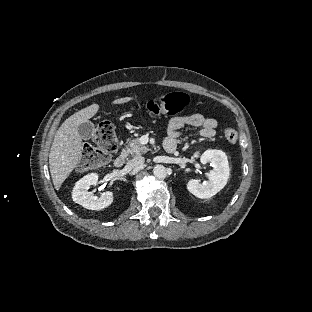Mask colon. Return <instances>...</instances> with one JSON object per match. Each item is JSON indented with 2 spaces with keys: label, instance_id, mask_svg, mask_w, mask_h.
<instances>
[{
  "label": "colon",
  "instance_id": "5ec220e1",
  "mask_svg": "<svg viewBox=\"0 0 312 312\" xmlns=\"http://www.w3.org/2000/svg\"><path fill=\"white\" fill-rule=\"evenodd\" d=\"M187 103L188 98L186 94L184 92H176L165 94L159 99L145 101L139 105L138 109L163 116L182 111ZM224 136L229 144H235L238 140L237 132L231 127L224 130ZM93 138L98 146V150L85 149L81 154L82 164L91 168L107 164L111 160V154L118 145L114 125L109 120H102L96 125Z\"/></svg>",
  "mask_w": 312,
  "mask_h": 312
}]
</instances>
